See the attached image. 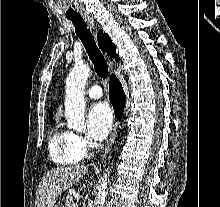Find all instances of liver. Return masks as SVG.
Returning <instances> with one entry per match:
<instances>
[{
    "label": "liver",
    "instance_id": "1",
    "mask_svg": "<svg viewBox=\"0 0 220 207\" xmlns=\"http://www.w3.org/2000/svg\"><path fill=\"white\" fill-rule=\"evenodd\" d=\"M87 172L86 165L61 166L48 171L38 186L35 207H54L61 193L76 184Z\"/></svg>",
    "mask_w": 220,
    "mask_h": 207
}]
</instances>
